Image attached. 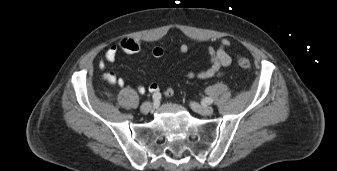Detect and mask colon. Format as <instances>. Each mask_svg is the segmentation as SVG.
<instances>
[{
  "mask_svg": "<svg viewBox=\"0 0 337 171\" xmlns=\"http://www.w3.org/2000/svg\"><path fill=\"white\" fill-rule=\"evenodd\" d=\"M237 63L241 68L248 69L251 66V62L248 57L238 54L237 57Z\"/></svg>",
  "mask_w": 337,
  "mask_h": 171,
  "instance_id": "1",
  "label": "colon"
}]
</instances>
